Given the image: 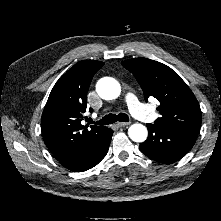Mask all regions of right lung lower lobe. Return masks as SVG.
Segmentation results:
<instances>
[{
	"mask_svg": "<svg viewBox=\"0 0 221 221\" xmlns=\"http://www.w3.org/2000/svg\"><path fill=\"white\" fill-rule=\"evenodd\" d=\"M112 134L113 130L108 128L105 135L96 144L62 165L74 172H82L94 167L105 157Z\"/></svg>",
	"mask_w": 221,
	"mask_h": 221,
	"instance_id": "98d812e1",
	"label": "right lung lower lobe"
}]
</instances>
